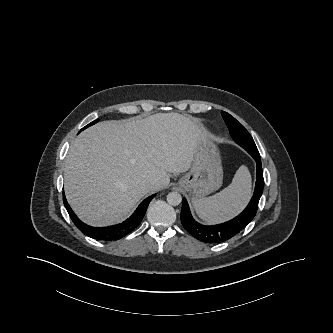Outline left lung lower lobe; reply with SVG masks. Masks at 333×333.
Segmentation results:
<instances>
[{
  "label": "left lung lower lobe",
  "mask_w": 333,
  "mask_h": 333,
  "mask_svg": "<svg viewBox=\"0 0 333 333\" xmlns=\"http://www.w3.org/2000/svg\"><path fill=\"white\" fill-rule=\"evenodd\" d=\"M256 161V185L253 197L244 211L232 220L213 226H205L196 222L190 213L185 198L182 200L181 223L183 227L196 239L205 243H220L228 240L244 229L254 218L260 197L263 192V170L258 151H247Z\"/></svg>",
  "instance_id": "1"
}]
</instances>
